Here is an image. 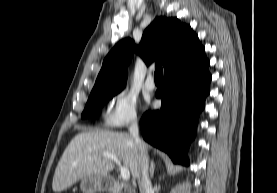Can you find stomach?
Wrapping results in <instances>:
<instances>
[{"instance_id": "stomach-1", "label": "stomach", "mask_w": 277, "mask_h": 193, "mask_svg": "<svg viewBox=\"0 0 277 193\" xmlns=\"http://www.w3.org/2000/svg\"><path fill=\"white\" fill-rule=\"evenodd\" d=\"M80 188L83 193L109 192L113 188V180L108 175L88 176L81 180Z\"/></svg>"}]
</instances>
